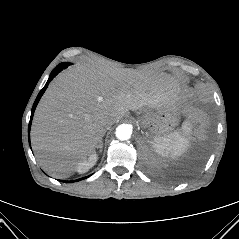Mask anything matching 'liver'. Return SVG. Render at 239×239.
Instances as JSON below:
<instances>
[{
    "mask_svg": "<svg viewBox=\"0 0 239 239\" xmlns=\"http://www.w3.org/2000/svg\"><path fill=\"white\" fill-rule=\"evenodd\" d=\"M185 90L168 75L149 71L76 66L60 74L42 96L31 142L40 166L55 178L75 172L94 153L108 118L129 110L177 108L191 117Z\"/></svg>",
    "mask_w": 239,
    "mask_h": 239,
    "instance_id": "6515ba94",
    "label": "liver"
}]
</instances>
